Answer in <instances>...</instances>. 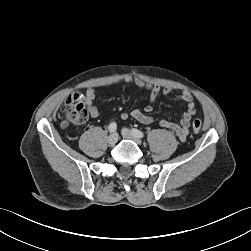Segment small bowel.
<instances>
[{
  "mask_svg": "<svg viewBox=\"0 0 251 251\" xmlns=\"http://www.w3.org/2000/svg\"><path fill=\"white\" fill-rule=\"evenodd\" d=\"M123 81L126 84L134 85L139 88H143L149 91V100L151 103L155 102L160 94L168 95L172 92L170 87H161L158 84H153L147 81H144L138 77L127 75L124 77ZM85 103L87 106V111L92 118H97L99 116V110L94 104L96 98V91L94 88H88L85 94ZM179 98L187 104L186 111L182 114L180 122L174 123L166 119H162L159 122V125L162 128L169 129L174 132L181 141H184L189 133L190 123L192 117L196 114L195 103L193 96L189 91H182L179 95ZM153 110L151 104L147 105L144 110L134 109L130 113L123 112L120 117L123 120L132 117L136 121L142 124H151L153 122V117L150 113Z\"/></svg>",
  "mask_w": 251,
  "mask_h": 251,
  "instance_id": "c3829d8e",
  "label": "small bowel"
}]
</instances>
